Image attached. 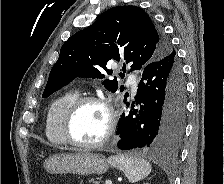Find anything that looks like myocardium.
I'll return each mask as SVG.
<instances>
[{
	"instance_id": "f54148a6",
	"label": "myocardium",
	"mask_w": 224,
	"mask_h": 184,
	"mask_svg": "<svg viewBox=\"0 0 224 184\" xmlns=\"http://www.w3.org/2000/svg\"><path fill=\"white\" fill-rule=\"evenodd\" d=\"M87 103L98 104L102 106L107 113V126L105 134L101 139L92 143H84L77 141L72 134L73 120L78 110ZM115 128H116V113L109 100L105 97L95 95H82L78 96L66 109L62 119L61 131L66 143L80 149H95L103 146L111 139V137L115 132Z\"/></svg>"
}]
</instances>
